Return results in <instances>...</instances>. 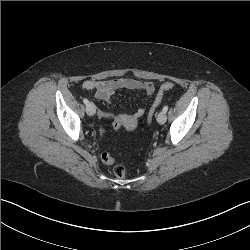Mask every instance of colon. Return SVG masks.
Wrapping results in <instances>:
<instances>
[{"label":"colon","mask_w":250,"mask_h":250,"mask_svg":"<svg viewBox=\"0 0 250 250\" xmlns=\"http://www.w3.org/2000/svg\"><path fill=\"white\" fill-rule=\"evenodd\" d=\"M174 84L172 82H165L164 84L161 85L159 92L156 96V99L149 111L148 114V122H151L154 115H155V111L157 109V107L159 106V104L162 101L163 95L165 92L173 89ZM121 120H126V115H120V116H115L114 119L111 121V126L113 127L112 130L114 133H119L121 130ZM103 133V130L101 131ZM101 157L102 160L107 163V164H114V160L112 159V157L109 155V153L107 152H101ZM112 172L115 175V177L117 178H124L126 175V169L123 165L121 164H114L112 167Z\"/></svg>","instance_id":"colon-1"}]
</instances>
